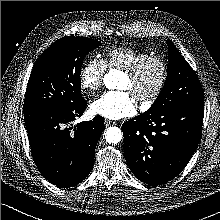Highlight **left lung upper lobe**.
<instances>
[{
    "label": "left lung upper lobe",
    "instance_id": "5c2ea615",
    "mask_svg": "<svg viewBox=\"0 0 220 220\" xmlns=\"http://www.w3.org/2000/svg\"><path fill=\"white\" fill-rule=\"evenodd\" d=\"M169 64L167 79L159 96L147 111L160 112L165 109L204 102L203 91L194 70L168 39Z\"/></svg>",
    "mask_w": 220,
    "mask_h": 220
}]
</instances>
